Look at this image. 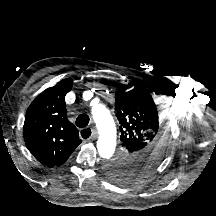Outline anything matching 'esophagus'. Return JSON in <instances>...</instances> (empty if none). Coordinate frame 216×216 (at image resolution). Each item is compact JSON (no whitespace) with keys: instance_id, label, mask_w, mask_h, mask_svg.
<instances>
[{"instance_id":"34e87169","label":"esophagus","mask_w":216,"mask_h":216,"mask_svg":"<svg viewBox=\"0 0 216 216\" xmlns=\"http://www.w3.org/2000/svg\"><path fill=\"white\" fill-rule=\"evenodd\" d=\"M87 133H90V136L87 139L88 141L95 139L97 137V132L92 128H83L79 132L81 138H83L82 134H87Z\"/></svg>"}]
</instances>
